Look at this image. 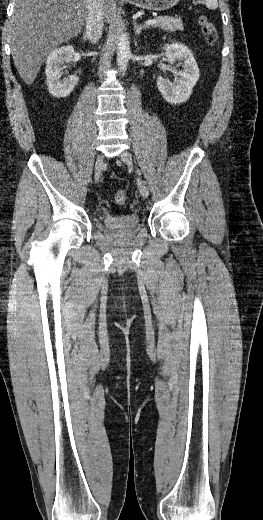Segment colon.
<instances>
[{"mask_svg": "<svg viewBox=\"0 0 263 520\" xmlns=\"http://www.w3.org/2000/svg\"><path fill=\"white\" fill-rule=\"evenodd\" d=\"M198 25L207 45L210 47H214L219 40L218 31L215 25L206 16L198 17ZM126 200V192L124 190L117 191L115 195L116 203L122 205L126 202Z\"/></svg>", "mask_w": 263, "mask_h": 520, "instance_id": "colon-1", "label": "colon"}]
</instances>
